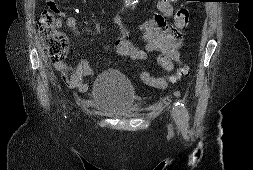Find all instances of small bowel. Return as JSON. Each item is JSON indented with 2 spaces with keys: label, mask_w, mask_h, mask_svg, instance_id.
Here are the masks:
<instances>
[{
  "label": "small bowel",
  "mask_w": 253,
  "mask_h": 170,
  "mask_svg": "<svg viewBox=\"0 0 253 170\" xmlns=\"http://www.w3.org/2000/svg\"><path fill=\"white\" fill-rule=\"evenodd\" d=\"M177 0H159L158 12L149 20L143 22L139 28L143 31L144 48H138L133 45L127 38L128 27L125 25L121 17L116 16L115 22L121 26L122 35L115 42V49L118 54L129 60H146L149 52L157 53L156 62L167 72L171 73L176 65L181 63L178 49L182 45L181 29L177 25L175 16L174 27H171L166 18L173 15V4ZM47 6L54 11L58 18L55 22L56 29L61 28L62 22L71 28L76 36L81 35V31L77 28V18L68 15L61 10L54 0H47ZM56 71L62 74L63 80L68 87L86 92L88 90L87 79L93 75V70L88 60H81L75 69L70 68L64 62L54 64ZM140 77L142 81L150 85L148 81L151 79L157 83V88H164L166 81L153 77L147 70H142Z\"/></svg>",
  "instance_id": "c3829d8e"
}]
</instances>
